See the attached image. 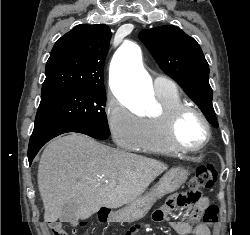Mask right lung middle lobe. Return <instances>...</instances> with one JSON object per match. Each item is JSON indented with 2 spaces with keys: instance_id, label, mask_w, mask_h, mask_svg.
Here are the masks:
<instances>
[{
  "instance_id": "1",
  "label": "right lung middle lobe",
  "mask_w": 250,
  "mask_h": 235,
  "mask_svg": "<svg viewBox=\"0 0 250 235\" xmlns=\"http://www.w3.org/2000/svg\"><path fill=\"white\" fill-rule=\"evenodd\" d=\"M105 87L62 91L41 97L35 124L45 121H64L88 127L110 135Z\"/></svg>"
}]
</instances>
